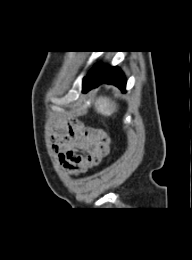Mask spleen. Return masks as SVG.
I'll use <instances>...</instances> for the list:
<instances>
[{
	"label": "spleen",
	"mask_w": 192,
	"mask_h": 260,
	"mask_svg": "<svg viewBox=\"0 0 192 260\" xmlns=\"http://www.w3.org/2000/svg\"><path fill=\"white\" fill-rule=\"evenodd\" d=\"M94 109L101 115L110 116L117 111V106L110 98L100 96L94 102Z\"/></svg>",
	"instance_id": "obj_1"
}]
</instances>
